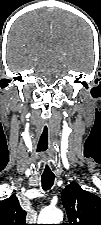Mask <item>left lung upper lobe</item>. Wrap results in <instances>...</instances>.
Wrapping results in <instances>:
<instances>
[{
  "label": "left lung upper lobe",
  "instance_id": "left-lung-upper-lobe-1",
  "mask_svg": "<svg viewBox=\"0 0 101 225\" xmlns=\"http://www.w3.org/2000/svg\"><path fill=\"white\" fill-rule=\"evenodd\" d=\"M61 198L69 219L65 225H101V199L98 196L71 182Z\"/></svg>",
  "mask_w": 101,
  "mask_h": 225
}]
</instances>
